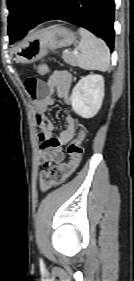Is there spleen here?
Masks as SVG:
<instances>
[{
  "mask_svg": "<svg viewBox=\"0 0 134 281\" xmlns=\"http://www.w3.org/2000/svg\"><path fill=\"white\" fill-rule=\"evenodd\" d=\"M81 40L78 44L80 54L77 64L85 70L107 71L110 64V51L106 43L84 28H80Z\"/></svg>",
  "mask_w": 134,
  "mask_h": 281,
  "instance_id": "obj_1",
  "label": "spleen"
}]
</instances>
